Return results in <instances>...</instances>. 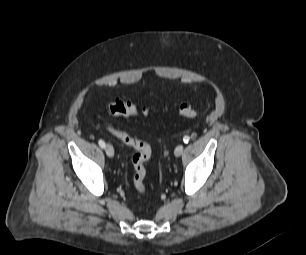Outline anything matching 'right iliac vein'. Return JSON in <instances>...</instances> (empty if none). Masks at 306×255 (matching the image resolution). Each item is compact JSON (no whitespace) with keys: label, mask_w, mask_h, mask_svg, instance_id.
<instances>
[{"label":"right iliac vein","mask_w":306,"mask_h":255,"mask_svg":"<svg viewBox=\"0 0 306 255\" xmlns=\"http://www.w3.org/2000/svg\"><path fill=\"white\" fill-rule=\"evenodd\" d=\"M105 152H106L108 157H113L114 156V148L112 147V145L107 144L105 146Z\"/></svg>","instance_id":"obj_1"}]
</instances>
